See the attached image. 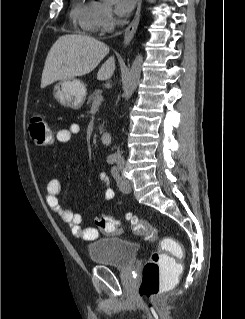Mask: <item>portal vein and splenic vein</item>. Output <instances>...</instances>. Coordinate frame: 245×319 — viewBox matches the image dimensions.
<instances>
[{
    "label": "portal vein and splenic vein",
    "mask_w": 245,
    "mask_h": 319,
    "mask_svg": "<svg viewBox=\"0 0 245 319\" xmlns=\"http://www.w3.org/2000/svg\"><path fill=\"white\" fill-rule=\"evenodd\" d=\"M103 101V96L100 94L99 96H97L94 100H93V103H92V106L93 107H98L101 105Z\"/></svg>",
    "instance_id": "obj_1"
}]
</instances>
